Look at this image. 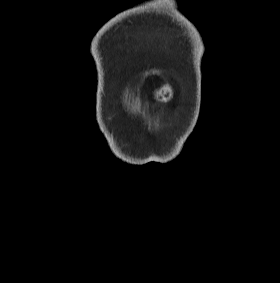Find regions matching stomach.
Masks as SVG:
<instances>
[{"instance_id":"obj_1","label":"stomach","mask_w":280,"mask_h":283,"mask_svg":"<svg viewBox=\"0 0 280 283\" xmlns=\"http://www.w3.org/2000/svg\"><path fill=\"white\" fill-rule=\"evenodd\" d=\"M173 97V90L169 84L162 85L154 92V99L158 102H167Z\"/></svg>"}]
</instances>
